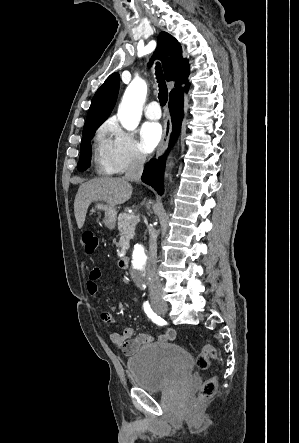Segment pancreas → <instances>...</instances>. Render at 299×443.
<instances>
[{
    "label": "pancreas",
    "instance_id": "1",
    "mask_svg": "<svg viewBox=\"0 0 299 443\" xmlns=\"http://www.w3.org/2000/svg\"><path fill=\"white\" fill-rule=\"evenodd\" d=\"M126 212L119 214L118 216V230L120 233V242L118 246L120 247L119 253H125L129 248L130 239L135 235L134 230L138 222V218L129 220Z\"/></svg>",
    "mask_w": 299,
    "mask_h": 443
}]
</instances>
